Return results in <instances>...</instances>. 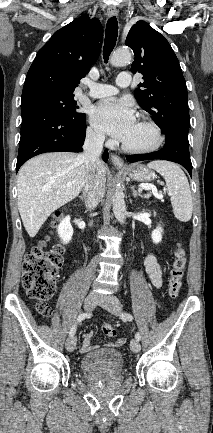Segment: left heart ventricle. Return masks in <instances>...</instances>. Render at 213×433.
Instances as JSON below:
<instances>
[{"instance_id": "obj_1", "label": "left heart ventricle", "mask_w": 213, "mask_h": 433, "mask_svg": "<svg viewBox=\"0 0 213 433\" xmlns=\"http://www.w3.org/2000/svg\"><path fill=\"white\" fill-rule=\"evenodd\" d=\"M153 140L154 135L152 131L138 121L135 123L134 127L123 143L130 147L140 148L151 144Z\"/></svg>"}]
</instances>
